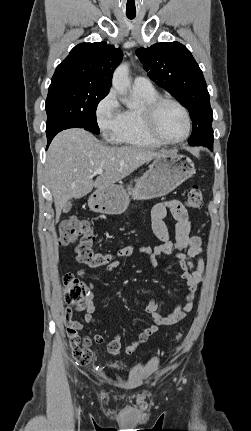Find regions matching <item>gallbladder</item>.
Returning a JSON list of instances; mask_svg holds the SVG:
<instances>
[{"label":"gallbladder","mask_w":251,"mask_h":431,"mask_svg":"<svg viewBox=\"0 0 251 431\" xmlns=\"http://www.w3.org/2000/svg\"><path fill=\"white\" fill-rule=\"evenodd\" d=\"M71 208H72V203L68 201L62 210L64 213H68L71 210Z\"/></svg>","instance_id":"1"}]
</instances>
